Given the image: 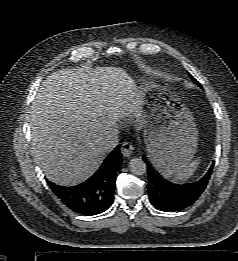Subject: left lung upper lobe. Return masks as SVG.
Segmentation results:
<instances>
[{
  "label": "left lung upper lobe",
  "mask_w": 238,
  "mask_h": 261,
  "mask_svg": "<svg viewBox=\"0 0 238 261\" xmlns=\"http://www.w3.org/2000/svg\"><path fill=\"white\" fill-rule=\"evenodd\" d=\"M189 75H190V74H189ZM190 77L193 79V81H194L195 83H197V84L199 85L198 81H197L194 77H192L191 75H190Z\"/></svg>",
  "instance_id": "obj_1"
}]
</instances>
